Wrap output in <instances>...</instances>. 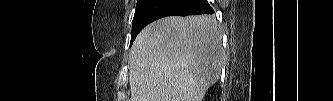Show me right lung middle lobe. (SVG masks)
<instances>
[{
    "mask_svg": "<svg viewBox=\"0 0 333 101\" xmlns=\"http://www.w3.org/2000/svg\"><path fill=\"white\" fill-rule=\"evenodd\" d=\"M146 0H137L136 10L145 2Z\"/></svg>",
    "mask_w": 333,
    "mask_h": 101,
    "instance_id": "dd1d6c3e",
    "label": "right lung middle lobe"
}]
</instances>
